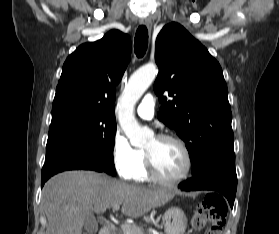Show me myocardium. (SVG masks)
<instances>
[{"instance_id":"f54148a6","label":"myocardium","mask_w":279,"mask_h":234,"mask_svg":"<svg viewBox=\"0 0 279 234\" xmlns=\"http://www.w3.org/2000/svg\"><path fill=\"white\" fill-rule=\"evenodd\" d=\"M155 139L159 142L171 141L177 144L185 157V168L184 171L181 173V175L178 176L177 178L166 179L163 176H161L160 173L158 172L153 154L148 150H144L146 167H147L149 178L165 186H177L181 184L183 181H185L188 178L193 166L192 156L188 147L180 138L170 134H160L157 135Z\"/></svg>"}]
</instances>
